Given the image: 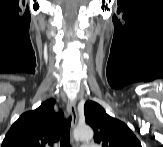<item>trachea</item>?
<instances>
[{
    "label": "trachea",
    "mask_w": 163,
    "mask_h": 147,
    "mask_svg": "<svg viewBox=\"0 0 163 147\" xmlns=\"http://www.w3.org/2000/svg\"><path fill=\"white\" fill-rule=\"evenodd\" d=\"M70 127H71V116L67 118L64 122L62 135H61V147L70 146Z\"/></svg>",
    "instance_id": "obj_1"
}]
</instances>
